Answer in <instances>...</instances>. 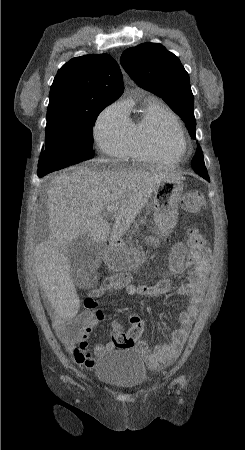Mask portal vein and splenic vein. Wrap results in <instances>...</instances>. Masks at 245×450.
<instances>
[{
	"label": "portal vein and splenic vein",
	"instance_id": "portal-vein-and-splenic-vein-1",
	"mask_svg": "<svg viewBox=\"0 0 245 450\" xmlns=\"http://www.w3.org/2000/svg\"><path fill=\"white\" fill-rule=\"evenodd\" d=\"M114 210H115V207H114V206H108V207H107V212H108L109 214L112 213Z\"/></svg>",
	"mask_w": 245,
	"mask_h": 450
}]
</instances>
